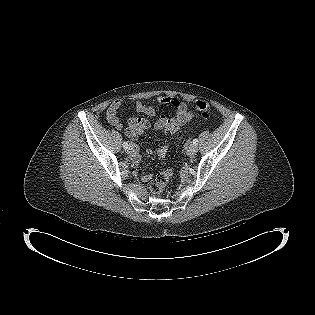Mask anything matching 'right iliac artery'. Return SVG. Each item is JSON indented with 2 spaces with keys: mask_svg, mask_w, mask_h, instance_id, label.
I'll return each instance as SVG.
<instances>
[{
  "mask_svg": "<svg viewBox=\"0 0 315 315\" xmlns=\"http://www.w3.org/2000/svg\"><path fill=\"white\" fill-rule=\"evenodd\" d=\"M123 148H124V149H127V148H128V143H127V142H124V143H123Z\"/></svg>",
  "mask_w": 315,
  "mask_h": 315,
  "instance_id": "obj_1",
  "label": "right iliac artery"
}]
</instances>
